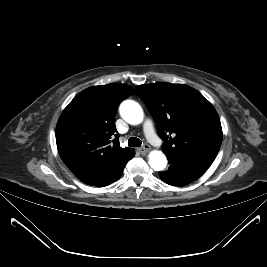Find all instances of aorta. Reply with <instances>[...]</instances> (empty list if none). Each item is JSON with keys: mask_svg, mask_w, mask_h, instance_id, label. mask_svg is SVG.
I'll list each match as a JSON object with an SVG mask.
<instances>
[{"mask_svg": "<svg viewBox=\"0 0 267 267\" xmlns=\"http://www.w3.org/2000/svg\"><path fill=\"white\" fill-rule=\"evenodd\" d=\"M119 112L121 117L131 125H138L144 119L142 107L133 100H125L120 104ZM149 164L155 171H161L166 167V156L158 150H153L149 154Z\"/></svg>", "mask_w": 267, "mask_h": 267, "instance_id": "1", "label": "aorta"}]
</instances>
